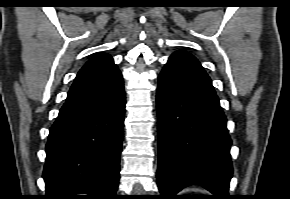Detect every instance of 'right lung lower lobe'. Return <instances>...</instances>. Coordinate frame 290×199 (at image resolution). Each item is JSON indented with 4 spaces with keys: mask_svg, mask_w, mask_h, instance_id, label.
<instances>
[{
    "mask_svg": "<svg viewBox=\"0 0 290 199\" xmlns=\"http://www.w3.org/2000/svg\"><path fill=\"white\" fill-rule=\"evenodd\" d=\"M124 111L122 78L66 100L46 145L44 199H115ZM80 193L88 195H76Z\"/></svg>",
    "mask_w": 290,
    "mask_h": 199,
    "instance_id": "98d812e1",
    "label": "right lung lower lobe"
}]
</instances>
